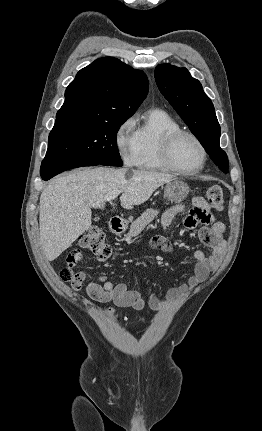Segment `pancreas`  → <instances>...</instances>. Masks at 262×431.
Segmentation results:
<instances>
[{
    "mask_svg": "<svg viewBox=\"0 0 262 431\" xmlns=\"http://www.w3.org/2000/svg\"><path fill=\"white\" fill-rule=\"evenodd\" d=\"M158 211L154 209H147L141 214L139 218L132 222L130 231L127 233L126 238H132L138 236L142 230L154 220L158 215Z\"/></svg>",
    "mask_w": 262,
    "mask_h": 431,
    "instance_id": "obj_1",
    "label": "pancreas"
}]
</instances>
